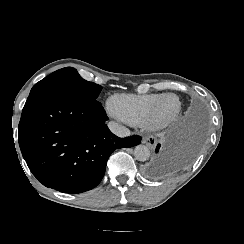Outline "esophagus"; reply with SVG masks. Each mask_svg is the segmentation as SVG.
<instances>
[{
	"mask_svg": "<svg viewBox=\"0 0 244 244\" xmlns=\"http://www.w3.org/2000/svg\"><path fill=\"white\" fill-rule=\"evenodd\" d=\"M141 142L146 146H148L150 149H153L157 144V139L153 135H149V136H144Z\"/></svg>",
	"mask_w": 244,
	"mask_h": 244,
	"instance_id": "esophagus-1",
	"label": "esophagus"
}]
</instances>
